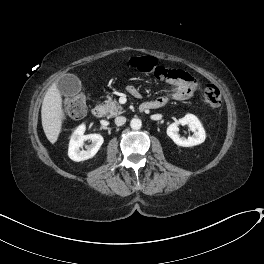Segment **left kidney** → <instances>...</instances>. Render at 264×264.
I'll return each instance as SVG.
<instances>
[{
	"label": "left kidney",
	"mask_w": 264,
	"mask_h": 264,
	"mask_svg": "<svg viewBox=\"0 0 264 264\" xmlns=\"http://www.w3.org/2000/svg\"><path fill=\"white\" fill-rule=\"evenodd\" d=\"M179 124L188 125L193 132V136H189L188 138L180 137L178 135ZM167 135L174 141V143L183 147L199 145L203 143L206 138V133L201 122L193 114H186L177 122L170 124L167 127Z\"/></svg>",
	"instance_id": "1"
}]
</instances>
